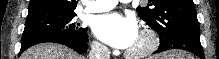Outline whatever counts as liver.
Wrapping results in <instances>:
<instances>
[{
    "label": "liver",
    "mask_w": 219,
    "mask_h": 59,
    "mask_svg": "<svg viewBox=\"0 0 219 59\" xmlns=\"http://www.w3.org/2000/svg\"><path fill=\"white\" fill-rule=\"evenodd\" d=\"M20 59H85V57L65 46L43 43L27 49Z\"/></svg>",
    "instance_id": "obj_1"
}]
</instances>
